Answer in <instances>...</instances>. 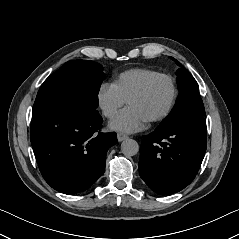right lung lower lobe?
Here are the masks:
<instances>
[{"label": "right lung lower lobe", "instance_id": "1", "mask_svg": "<svg viewBox=\"0 0 239 239\" xmlns=\"http://www.w3.org/2000/svg\"><path fill=\"white\" fill-rule=\"evenodd\" d=\"M96 109L78 102L58 103L31 124V144L46 182L73 195L89 189L104 173L106 153L117 143L114 132L101 133Z\"/></svg>", "mask_w": 239, "mask_h": 239}]
</instances>
